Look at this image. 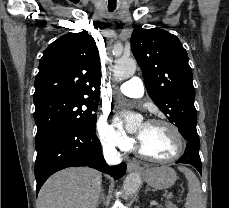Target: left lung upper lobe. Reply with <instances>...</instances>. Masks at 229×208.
<instances>
[{
    "mask_svg": "<svg viewBox=\"0 0 229 208\" xmlns=\"http://www.w3.org/2000/svg\"><path fill=\"white\" fill-rule=\"evenodd\" d=\"M131 49L153 102L180 133L196 129L193 76L179 39L162 29L137 27L131 36Z\"/></svg>",
    "mask_w": 229,
    "mask_h": 208,
    "instance_id": "left-lung-upper-lobe-1",
    "label": "left lung upper lobe"
}]
</instances>
